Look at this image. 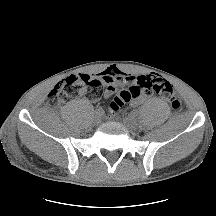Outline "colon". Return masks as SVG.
<instances>
[{
	"instance_id": "obj_1",
	"label": "colon",
	"mask_w": 216,
	"mask_h": 216,
	"mask_svg": "<svg viewBox=\"0 0 216 216\" xmlns=\"http://www.w3.org/2000/svg\"><path fill=\"white\" fill-rule=\"evenodd\" d=\"M147 90L166 100L175 111L180 110L181 101L175 93L173 86L156 75H147L137 85L120 91L111 101L110 110L118 111L126 103ZM104 90L101 79L87 74H74L59 82L50 92V97L59 105L67 103L73 96L82 95L91 101L98 100Z\"/></svg>"
}]
</instances>
